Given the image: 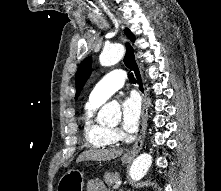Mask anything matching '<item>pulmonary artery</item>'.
<instances>
[{"label": "pulmonary artery", "mask_w": 221, "mask_h": 191, "mask_svg": "<svg viewBox=\"0 0 221 191\" xmlns=\"http://www.w3.org/2000/svg\"><path fill=\"white\" fill-rule=\"evenodd\" d=\"M126 77V73L122 69L110 71L94 86L89 95V101L102 104L124 85Z\"/></svg>", "instance_id": "e3ab8cb5"}]
</instances>
